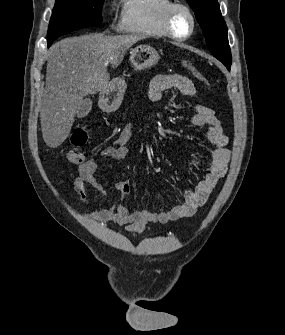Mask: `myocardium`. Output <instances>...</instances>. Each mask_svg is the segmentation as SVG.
<instances>
[{"mask_svg": "<svg viewBox=\"0 0 285 335\" xmlns=\"http://www.w3.org/2000/svg\"><path fill=\"white\" fill-rule=\"evenodd\" d=\"M184 18H189L191 24L189 27L190 30L192 27V18L188 9L183 4L176 3L168 9L166 14V24L168 31L172 36L177 37V29Z\"/></svg>", "mask_w": 285, "mask_h": 335, "instance_id": "obj_1", "label": "myocardium"}]
</instances>
